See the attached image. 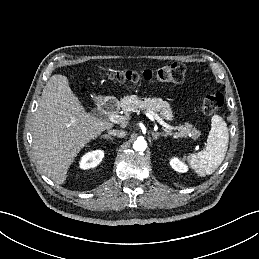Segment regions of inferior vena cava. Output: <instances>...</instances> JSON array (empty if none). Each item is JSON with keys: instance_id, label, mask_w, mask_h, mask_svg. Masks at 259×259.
I'll return each instance as SVG.
<instances>
[{"instance_id": "1", "label": "inferior vena cava", "mask_w": 259, "mask_h": 259, "mask_svg": "<svg viewBox=\"0 0 259 259\" xmlns=\"http://www.w3.org/2000/svg\"><path fill=\"white\" fill-rule=\"evenodd\" d=\"M108 134L113 135V136H117L119 138H123L124 136H126V133L122 130H108Z\"/></svg>"}]
</instances>
